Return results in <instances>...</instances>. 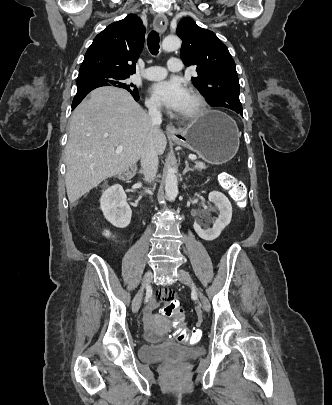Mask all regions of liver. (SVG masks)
Listing matches in <instances>:
<instances>
[{"label":"liver","mask_w":332,"mask_h":405,"mask_svg":"<svg viewBox=\"0 0 332 405\" xmlns=\"http://www.w3.org/2000/svg\"><path fill=\"white\" fill-rule=\"evenodd\" d=\"M150 135L157 154L162 155L165 134L158 126L152 127L147 113L127 91L115 87L93 90L70 120L65 148L69 202L135 165ZM120 145L123 151L117 154Z\"/></svg>","instance_id":"6515ba94"}]
</instances>
